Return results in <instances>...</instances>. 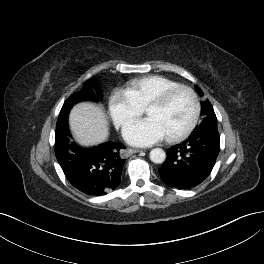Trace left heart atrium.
Wrapping results in <instances>:
<instances>
[{"instance_id": "left-heart-atrium-1", "label": "left heart atrium", "mask_w": 264, "mask_h": 264, "mask_svg": "<svg viewBox=\"0 0 264 264\" xmlns=\"http://www.w3.org/2000/svg\"><path fill=\"white\" fill-rule=\"evenodd\" d=\"M164 137L163 130L152 118L134 121L124 130L125 140L135 146H149Z\"/></svg>"}]
</instances>
